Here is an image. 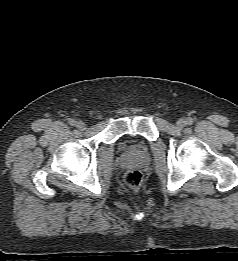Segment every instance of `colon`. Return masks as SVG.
I'll return each instance as SVG.
<instances>
[{"mask_svg": "<svg viewBox=\"0 0 238 261\" xmlns=\"http://www.w3.org/2000/svg\"><path fill=\"white\" fill-rule=\"evenodd\" d=\"M125 184L133 191L140 190L143 183L142 173L138 170H131L126 173L124 178Z\"/></svg>", "mask_w": 238, "mask_h": 261, "instance_id": "colon-1", "label": "colon"}]
</instances>
